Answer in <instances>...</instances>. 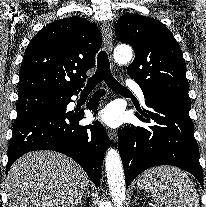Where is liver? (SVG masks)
Listing matches in <instances>:
<instances>
[{
  "mask_svg": "<svg viewBox=\"0 0 206 207\" xmlns=\"http://www.w3.org/2000/svg\"><path fill=\"white\" fill-rule=\"evenodd\" d=\"M88 185L85 171L69 157L35 151L11 166L6 189L10 207H74Z\"/></svg>",
  "mask_w": 206,
  "mask_h": 207,
  "instance_id": "obj_1",
  "label": "liver"
}]
</instances>
